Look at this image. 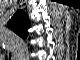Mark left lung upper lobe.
Returning a JSON list of instances; mask_svg holds the SVG:
<instances>
[{
    "instance_id": "1",
    "label": "left lung upper lobe",
    "mask_w": 80,
    "mask_h": 60,
    "mask_svg": "<svg viewBox=\"0 0 80 60\" xmlns=\"http://www.w3.org/2000/svg\"><path fill=\"white\" fill-rule=\"evenodd\" d=\"M8 27L22 38H27V29L30 27L29 18L23 11H18L8 22Z\"/></svg>"
}]
</instances>
